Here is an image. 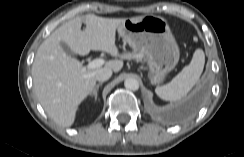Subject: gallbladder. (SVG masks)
<instances>
[{
	"instance_id": "gallbladder-1",
	"label": "gallbladder",
	"mask_w": 244,
	"mask_h": 157,
	"mask_svg": "<svg viewBox=\"0 0 244 157\" xmlns=\"http://www.w3.org/2000/svg\"><path fill=\"white\" fill-rule=\"evenodd\" d=\"M61 47L63 48V50L69 55L74 57V53L72 52V50L69 48V46L65 43V42H61Z\"/></svg>"
}]
</instances>
